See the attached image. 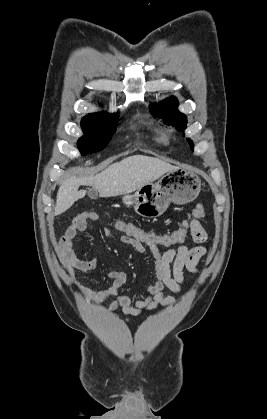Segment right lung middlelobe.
<instances>
[{"label": "right lung middle lobe", "mask_w": 267, "mask_h": 419, "mask_svg": "<svg viewBox=\"0 0 267 419\" xmlns=\"http://www.w3.org/2000/svg\"><path fill=\"white\" fill-rule=\"evenodd\" d=\"M117 115L106 112L92 113L81 121L84 136L78 140L82 155L104 149L115 132Z\"/></svg>", "instance_id": "dd1d6c3e"}]
</instances>
